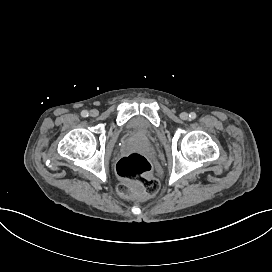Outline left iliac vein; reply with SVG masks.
Masks as SVG:
<instances>
[{"instance_id": "obj_1", "label": "left iliac vein", "mask_w": 272, "mask_h": 272, "mask_svg": "<svg viewBox=\"0 0 272 272\" xmlns=\"http://www.w3.org/2000/svg\"><path fill=\"white\" fill-rule=\"evenodd\" d=\"M180 117H181L182 120H187V119L189 118V115H188V113H186V112H182V113L180 114Z\"/></svg>"}]
</instances>
